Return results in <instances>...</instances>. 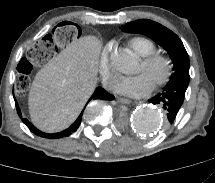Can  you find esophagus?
<instances>
[{"mask_svg":"<svg viewBox=\"0 0 215 183\" xmlns=\"http://www.w3.org/2000/svg\"><path fill=\"white\" fill-rule=\"evenodd\" d=\"M118 101L120 103H123V104H130L132 101L130 99H127V98H123V97H119L118 98Z\"/></svg>","mask_w":215,"mask_h":183,"instance_id":"obj_1","label":"esophagus"}]
</instances>
